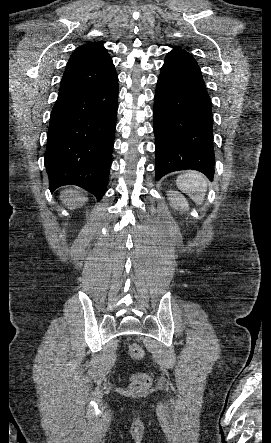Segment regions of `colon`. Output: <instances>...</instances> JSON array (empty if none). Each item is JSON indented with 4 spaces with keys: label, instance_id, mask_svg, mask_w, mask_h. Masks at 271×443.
<instances>
[{
    "label": "colon",
    "instance_id": "colon-1",
    "mask_svg": "<svg viewBox=\"0 0 271 443\" xmlns=\"http://www.w3.org/2000/svg\"><path fill=\"white\" fill-rule=\"evenodd\" d=\"M127 354L132 360H140L144 356V349L138 343H131L127 348ZM130 378L129 390L131 393L143 392L151 384L150 376L143 372L133 373Z\"/></svg>",
    "mask_w": 271,
    "mask_h": 443
}]
</instances>
